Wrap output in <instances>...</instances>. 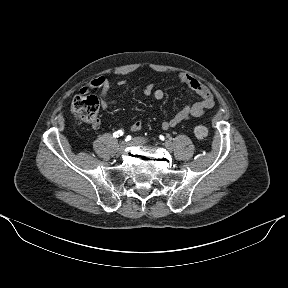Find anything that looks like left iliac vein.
Listing matches in <instances>:
<instances>
[{
    "label": "left iliac vein",
    "instance_id": "4c4485c4",
    "mask_svg": "<svg viewBox=\"0 0 288 288\" xmlns=\"http://www.w3.org/2000/svg\"><path fill=\"white\" fill-rule=\"evenodd\" d=\"M165 147H166L169 151H171V150H172V143L169 142V141H167V142L165 143Z\"/></svg>",
    "mask_w": 288,
    "mask_h": 288
}]
</instances>
